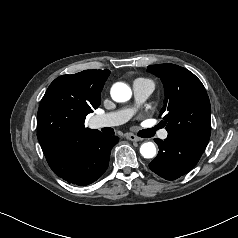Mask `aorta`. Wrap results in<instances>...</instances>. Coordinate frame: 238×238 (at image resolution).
<instances>
[{
    "label": "aorta",
    "mask_w": 238,
    "mask_h": 238,
    "mask_svg": "<svg viewBox=\"0 0 238 238\" xmlns=\"http://www.w3.org/2000/svg\"><path fill=\"white\" fill-rule=\"evenodd\" d=\"M132 96L130 87L122 82L115 83L111 88V97L116 102H126ZM140 153L144 158L150 159L156 156V146L153 142H145L140 146Z\"/></svg>",
    "instance_id": "aorta-1"
}]
</instances>
